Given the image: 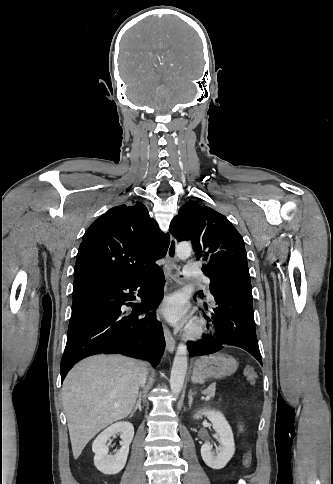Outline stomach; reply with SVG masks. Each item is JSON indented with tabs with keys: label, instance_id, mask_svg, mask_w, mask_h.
<instances>
[{
	"label": "stomach",
	"instance_id": "obj_1",
	"mask_svg": "<svg viewBox=\"0 0 333 484\" xmlns=\"http://www.w3.org/2000/svg\"><path fill=\"white\" fill-rule=\"evenodd\" d=\"M238 368L237 361L225 353H215L195 359L191 376L192 383L203 384L207 380L233 374Z\"/></svg>",
	"mask_w": 333,
	"mask_h": 484
}]
</instances>
